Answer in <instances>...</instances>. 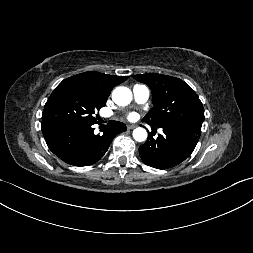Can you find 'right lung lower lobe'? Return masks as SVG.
<instances>
[{"label": "right lung lower lobe", "instance_id": "98d812e1", "mask_svg": "<svg viewBox=\"0 0 253 253\" xmlns=\"http://www.w3.org/2000/svg\"><path fill=\"white\" fill-rule=\"evenodd\" d=\"M92 125H47L42 126V133L49 149L61 160L74 166H88L104 156L118 133L126 131L124 123L110 121L102 135H95Z\"/></svg>", "mask_w": 253, "mask_h": 253}]
</instances>
